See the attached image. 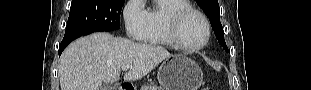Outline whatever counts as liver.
Segmentation results:
<instances>
[{
  "label": "liver",
  "mask_w": 311,
  "mask_h": 90,
  "mask_svg": "<svg viewBox=\"0 0 311 90\" xmlns=\"http://www.w3.org/2000/svg\"><path fill=\"white\" fill-rule=\"evenodd\" d=\"M170 56L162 46L94 33L75 40L62 53L60 87L61 90H100L103 83L118 81L120 69L125 65L130 69L124 80H139Z\"/></svg>",
  "instance_id": "liver-1"
}]
</instances>
